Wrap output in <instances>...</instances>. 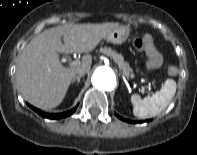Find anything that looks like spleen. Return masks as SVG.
I'll return each instance as SVG.
<instances>
[{
	"mask_svg": "<svg viewBox=\"0 0 197 155\" xmlns=\"http://www.w3.org/2000/svg\"><path fill=\"white\" fill-rule=\"evenodd\" d=\"M177 85L173 79H167L160 91L142 99L139 95L131 96L134 116L144 119L150 118L161 113L171 102Z\"/></svg>",
	"mask_w": 197,
	"mask_h": 155,
	"instance_id": "1",
	"label": "spleen"
}]
</instances>
